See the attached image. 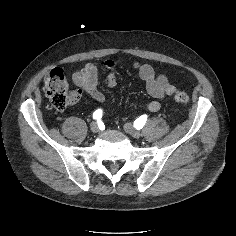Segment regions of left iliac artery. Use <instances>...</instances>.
<instances>
[{
    "mask_svg": "<svg viewBox=\"0 0 236 236\" xmlns=\"http://www.w3.org/2000/svg\"><path fill=\"white\" fill-rule=\"evenodd\" d=\"M147 115L140 116L137 120L134 122V126L137 128V130L141 129L143 125L145 124L147 120Z\"/></svg>",
    "mask_w": 236,
    "mask_h": 236,
    "instance_id": "obj_1",
    "label": "left iliac artery"
}]
</instances>
